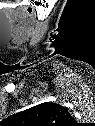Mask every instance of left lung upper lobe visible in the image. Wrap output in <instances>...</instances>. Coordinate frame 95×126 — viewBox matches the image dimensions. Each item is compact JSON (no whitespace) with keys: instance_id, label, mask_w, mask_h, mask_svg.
<instances>
[{"instance_id":"left-lung-upper-lobe-1","label":"left lung upper lobe","mask_w":95,"mask_h":126,"mask_svg":"<svg viewBox=\"0 0 95 126\" xmlns=\"http://www.w3.org/2000/svg\"><path fill=\"white\" fill-rule=\"evenodd\" d=\"M12 123L19 126H71L68 110L53 102H45L12 116Z\"/></svg>"}]
</instances>
